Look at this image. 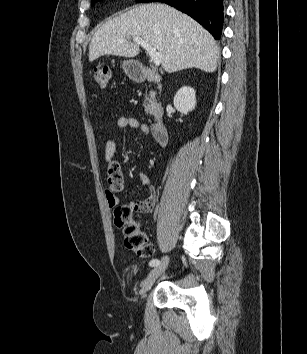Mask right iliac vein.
I'll use <instances>...</instances> for the list:
<instances>
[{"label": "right iliac vein", "mask_w": 307, "mask_h": 354, "mask_svg": "<svg viewBox=\"0 0 307 354\" xmlns=\"http://www.w3.org/2000/svg\"><path fill=\"white\" fill-rule=\"evenodd\" d=\"M168 264H169V257L164 256L160 264L149 272L148 276L142 283V288L140 290L141 296H143L151 288V286L154 284L156 279L166 270Z\"/></svg>", "instance_id": "obj_1"}]
</instances>
